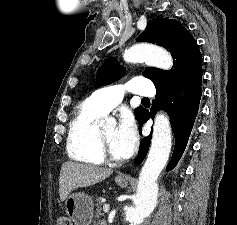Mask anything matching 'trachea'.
Here are the masks:
<instances>
[{"instance_id": "1", "label": "trachea", "mask_w": 237, "mask_h": 225, "mask_svg": "<svg viewBox=\"0 0 237 225\" xmlns=\"http://www.w3.org/2000/svg\"><path fill=\"white\" fill-rule=\"evenodd\" d=\"M143 102H149L150 103V100L148 98H143L142 99Z\"/></svg>"}]
</instances>
